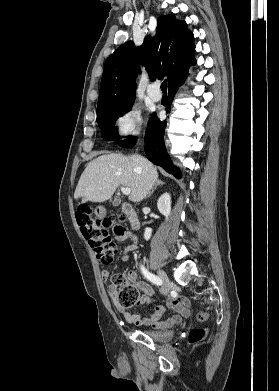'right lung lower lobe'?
Returning <instances> with one entry per match:
<instances>
[{
  "label": "right lung lower lobe",
  "instance_id": "98d812e1",
  "mask_svg": "<svg viewBox=\"0 0 279 391\" xmlns=\"http://www.w3.org/2000/svg\"><path fill=\"white\" fill-rule=\"evenodd\" d=\"M185 76L176 84L169 88V104H171L174 95L178 88L183 84ZM167 112L169 109H166ZM166 127L165 121H160L154 113L146 129L145 134V152L150 161L154 164L163 167L167 172L172 173L175 177L181 178L180 170L172 164L164 145V130ZM121 146L129 147L136 143V138H131L123 141H116Z\"/></svg>",
  "mask_w": 279,
  "mask_h": 391
}]
</instances>
